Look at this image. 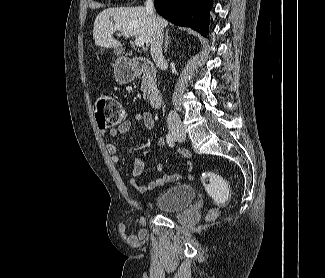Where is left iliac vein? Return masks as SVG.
<instances>
[{
    "instance_id": "1",
    "label": "left iliac vein",
    "mask_w": 325,
    "mask_h": 278,
    "mask_svg": "<svg viewBox=\"0 0 325 278\" xmlns=\"http://www.w3.org/2000/svg\"><path fill=\"white\" fill-rule=\"evenodd\" d=\"M184 140H185L184 137H182V138H177V137H176V141H178V142H183Z\"/></svg>"
}]
</instances>
